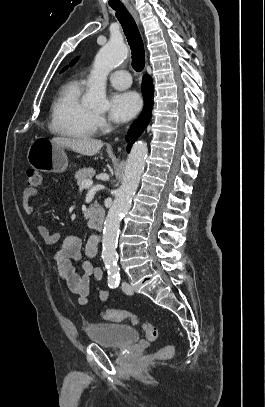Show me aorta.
<instances>
[{"instance_id":"1","label":"aorta","mask_w":265,"mask_h":407,"mask_svg":"<svg viewBox=\"0 0 265 407\" xmlns=\"http://www.w3.org/2000/svg\"><path fill=\"white\" fill-rule=\"evenodd\" d=\"M128 49L121 38H112L97 53L89 82L90 88L83 97V103L90 107H106L107 75L127 57ZM148 148L144 141L133 144L129 153L123 182L117 190L114 202L104 222L102 236V259L109 276L118 274L117 240L121 217L130 209L141 174L144 170Z\"/></svg>"}]
</instances>
